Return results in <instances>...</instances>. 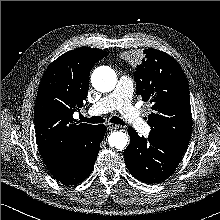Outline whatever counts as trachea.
I'll use <instances>...</instances> for the list:
<instances>
[{
    "mask_svg": "<svg viewBox=\"0 0 220 220\" xmlns=\"http://www.w3.org/2000/svg\"><path fill=\"white\" fill-rule=\"evenodd\" d=\"M80 119L81 121L87 122V123H103L104 122V119L101 116H93L91 118L81 116ZM110 122L114 124H118V125H125V122L116 116L112 117L110 119Z\"/></svg>",
    "mask_w": 220,
    "mask_h": 220,
    "instance_id": "3493384b",
    "label": "trachea"
}]
</instances>
